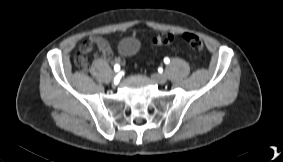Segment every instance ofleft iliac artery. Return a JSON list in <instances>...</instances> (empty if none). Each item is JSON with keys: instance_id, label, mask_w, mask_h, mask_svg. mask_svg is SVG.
Returning <instances> with one entry per match:
<instances>
[{"instance_id": "1", "label": "left iliac artery", "mask_w": 283, "mask_h": 162, "mask_svg": "<svg viewBox=\"0 0 283 162\" xmlns=\"http://www.w3.org/2000/svg\"><path fill=\"white\" fill-rule=\"evenodd\" d=\"M169 61H170L169 58H165V59H164V62H165L166 64H168Z\"/></svg>"}]
</instances>
